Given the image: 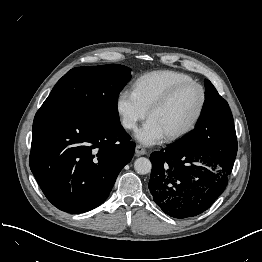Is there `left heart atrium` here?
<instances>
[{
    "label": "left heart atrium",
    "instance_id": "1",
    "mask_svg": "<svg viewBox=\"0 0 262 262\" xmlns=\"http://www.w3.org/2000/svg\"><path fill=\"white\" fill-rule=\"evenodd\" d=\"M138 141L145 145H152L160 142L164 137L163 131L155 123L149 119L135 134Z\"/></svg>",
    "mask_w": 262,
    "mask_h": 262
}]
</instances>
